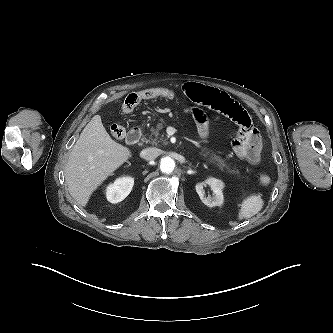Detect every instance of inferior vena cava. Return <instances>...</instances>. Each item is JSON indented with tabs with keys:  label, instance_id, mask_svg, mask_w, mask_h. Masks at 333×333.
Wrapping results in <instances>:
<instances>
[{
	"label": "inferior vena cava",
	"instance_id": "obj_1",
	"mask_svg": "<svg viewBox=\"0 0 333 333\" xmlns=\"http://www.w3.org/2000/svg\"><path fill=\"white\" fill-rule=\"evenodd\" d=\"M161 154V150L155 147L143 149L140 156L146 160H154Z\"/></svg>",
	"mask_w": 333,
	"mask_h": 333
}]
</instances>
